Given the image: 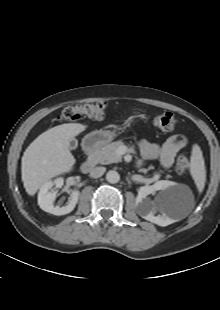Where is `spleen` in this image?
Here are the masks:
<instances>
[{"mask_svg":"<svg viewBox=\"0 0 220 310\" xmlns=\"http://www.w3.org/2000/svg\"><path fill=\"white\" fill-rule=\"evenodd\" d=\"M190 173L198 190L202 191L206 181V170L202 151L198 145H194L192 149Z\"/></svg>","mask_w":220,"mask_h":310,"instance_id":"3e777b00","label":"spleen"}]
</instances>
